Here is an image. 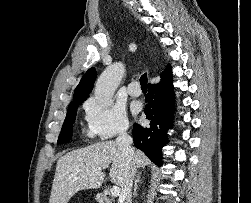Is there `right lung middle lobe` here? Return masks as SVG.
I'll use <instances>...</instances> for the list:
<instances>
[{
	"mask_svg": "<svg viewBox=\"0 0 251 203\" xmlns=\"http://www.w3.org/2000/svg\"><path fill=\"white\" fill-rule=\"evenodd\" d=\"M81 103L82 102H77V103H73L69 105L67 115H66L65 121L63 123L62 129H61L58 141H57L58 144L68 142L71 139L72 127L75 122L77 108L79 104Z\"/></svg>",
	"mask_w": 251,
	"mask_h": 203,
	"instance_id": "right-lung-middle-lobe-1",
	"label": "right lung middle lobe"
}]
</instances>
